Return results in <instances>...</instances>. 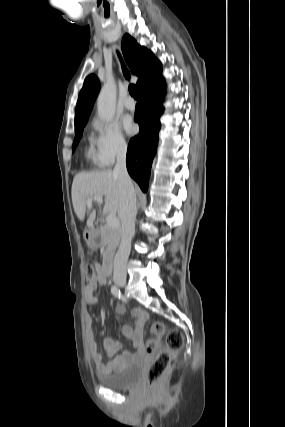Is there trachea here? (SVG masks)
I'll use <instances>...</instances> for the list:
<instances>
[{
	"instance_id": "obj_1",
	"label": "trachea",
	"mask_w": 285,
	"mask_h": 427,
	"mask_svg": "<svg viewBox=\"0 0 285 427\" xmlns=\"http://www.w3.org/2000/svg\"><path fill=\"white\" fill-rule=\"evenodd\" d=\"M123 73H124V76L126 77V79L129 80L130 74L124 65H123ZM129 93L132 97H134V99H138V97H139L138 96V89L134 84L129 85Z\"/></svg>"
}]
</instances>
